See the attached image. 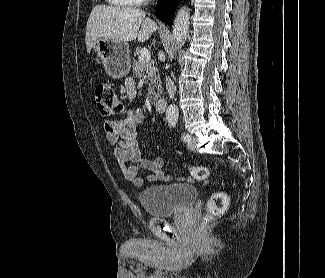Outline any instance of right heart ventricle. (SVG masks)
<instances>
[{
  "label": "right heart ventricle",
  "mask_w": 325,
  "mask_h": 278,
  "mask_svg": "<svg viewBox=\"0 0 325 278\" xmlns=\"http://www.w3.org/2000/svg\"><path fill=\"white\" fill-rule=\"evenodd\" d=\"M107 1L121 7H132L138 4L136 0H107Z\"/></svg>",
  "instance_id": "1"
}]
</instances>
